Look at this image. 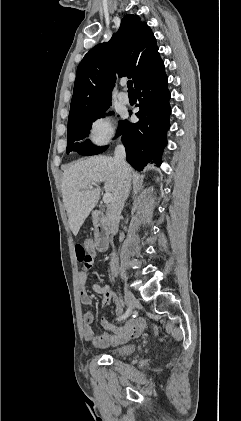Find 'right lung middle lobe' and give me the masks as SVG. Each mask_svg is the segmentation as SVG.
<instances>
[{
  "label": "right lung middle lobe",
  "instance_id": "dd1d6c3e",
  "mask_svg": "<svg viewBox=\"0 0 241 421\" xmlns=\"http://www.w3.org/2000/svg\"><path fill=\"white\" fill-rule=\"evenodd\" d=\"M108 108L109 107L90 115L68 120V131H67L68 145L66 149L67 153H69L70 151H76L79 154L90 156V155L99 154L103 152L104 150H106L107 148L106 146L101 147V148L95 147L93 144H91L89 140H86L84 142H79V141L83 140L85 137L88 136V133L91 129L92 122L95 121L97 118L104 117V112ZM109 113L111 114V112ZM124 122L125 121H120L119 123V128H118L119 135L123 131Z\"/></svg>",
  "mask_w": 241,
  "mask_h": 421
}]
</instances>
